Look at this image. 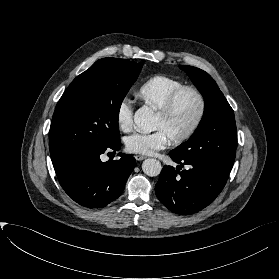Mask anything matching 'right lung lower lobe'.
I'll list each match as a JSON object with an SVG mask.
<instances>
[{"mask_svg":"<svg viewBox=\"0 0 279 279\" xmlns=\"http://www.w3.org/2000/svg\"><path fill=\"white\" fill-rule=\"evenodd\" d=\"M120 139L93 151L75 152L52 160L57 178L64 191L87 208H102L116 200L135 168L136 160L119 153L120 160L102 162L105 151H118Z\"/></svg>","mask_w":279,"mask_h":279,"instance_id":"obj_1","label":"right lung lower lobe"}]
</instances>
